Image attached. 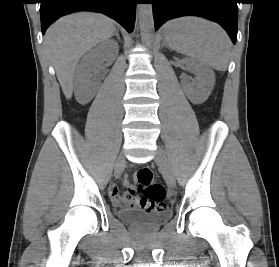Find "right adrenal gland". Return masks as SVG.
Returning <instances> with one entry per match:
<instances>
[{"instance_id": "right-adrenal-gland-1", "label": "right adrenal gland", "mask_w": 279, "mask_h": 267, "mask_svg": "<svg viewBox=\"0 0 279 267\" xmlns=\"http://www.w3.org/2000/svg\"><path fill=\"white\" fill-rule=\"evenodd\" d=\"M113 36H116L118 40H120V36H119V32L118 30L116 29Z\"/></svg>"}]
</instances>
